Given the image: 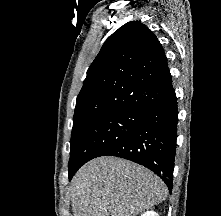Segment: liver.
<instances>
[{"mask_svg": "<svg viewBox=\"0 0 221 216\" xmlns=\"http://www.w3.org/2000/svg\"><path fill=\"white\" fill-rule=\"evenodd\" d=\"M167 193L152 171L116 157L91 160L70 187L73 216H137L162 203Z\"/></svg>", "mask_w": 221, "mask_h": 216, "instance_id": "liver-1", "label": "liver"}]
</instances>
